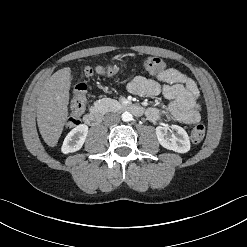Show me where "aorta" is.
I'll return each mask as SVG.
<instances>
[{"mask_svg":"<svg viewBox=\"0 0 247 247\" xmlns=\"http://www.w3.org/2000/svg\"><path fill=\"white\" fill-rule=\"evenodd\" d=\"M121 118L124 122H130L133 118L132 114L130 112H124L122 115H121Z\"/></svg>","mask_w":247,"mask_h":247,"instance_id":"1","label":"aorta"}]
</instances>
